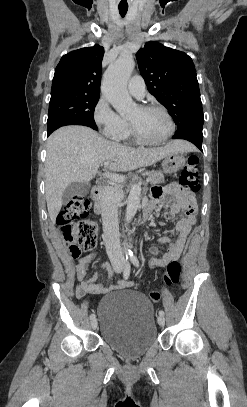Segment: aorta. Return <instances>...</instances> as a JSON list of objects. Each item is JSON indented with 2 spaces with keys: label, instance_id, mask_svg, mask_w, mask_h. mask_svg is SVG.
<instances>
[{
  "label": "aorta",
  "instance_id": "obj_1",
  "mask_svg": "<svg viewBox=\"0 0 247 407\" xmlns=\"http://www.w3.org/2000/svg\"><path fill=\"white\" fill-rule=\"evenodd\" d=\"M135 67V62L130 55L120 57L114 64L108 67L104 74L102 92L110 104L121 115L129 114L134 108L128 91L127 82ZM141 200V187L132 185L127 199L126 222L129 223L135 216Z\"/></svg>",
  "mask_w": 247,
  "mask_h": 407
}]
</instances>
